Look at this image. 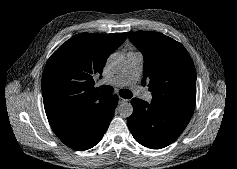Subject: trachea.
Wrapping results in <instances>:
<instances>
[{
	"label": "trachea",
	"instance_id": "obj_1",
	"mask_svg": "<svg viewBox=\"0 0 237 169\" xmlns=\"http://www.w3.org/2000/svg\"><path fill=\"white\" fill-rule=\"evenodd\" d=\"M99 89L101 90V92H103L105 94H109L113 90V88L108 85H102ZM120 95L124 98H131L133 96L132 92L128 89L120 90Z\"/></svg>",
	"mask_w": 237,
	"mask_h": 169
}]
</instances>
